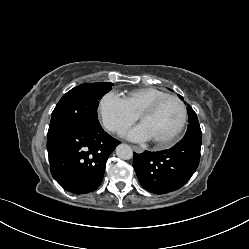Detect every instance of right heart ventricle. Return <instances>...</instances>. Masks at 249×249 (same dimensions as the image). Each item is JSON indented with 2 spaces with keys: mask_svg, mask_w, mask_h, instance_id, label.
<instances>
[{
  "mask_svg": "<svg viewBox=\"0 0 249 249\" xmlns=\"http://www.w3.org/2000/svg\"><path fill=\"white\" fill-rule=\"evenodd\" d=\"M168 94L156 88H138L122 94V100L125 102L129 110L138 115L139 112L148 104L158 98L167 96Z\"/></svg>",
  "mask_w": 249,
  "mask_h": 249,
  "instance_id": "e07e8e85",
  "label": "right heart ventricle"
}]
</instances>
